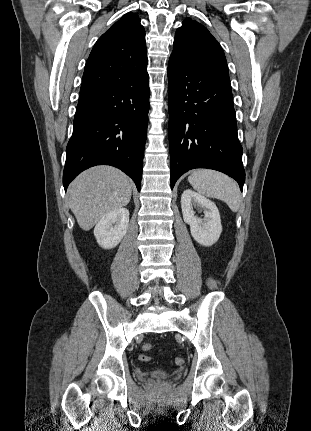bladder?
Returning a JSON list of instances; mask_svg holds the SVG:
<instances>
[{
	"mask_svg": "<svg viewBox=\"0 0 311 431\" xmlns=\"http://www.w3.org/2000/svg\"><path fill=\"white\" fill-rule=\"evenodd\" d=\"M151 375H152L153 377H161V378H165V377H167V376H168V373H167L166 371H164V370H160V369H158V370H154V371H152V372H151Z\"/></svg>",
	"mask_w": 311,
	"mask_h": 431,
	"instance_id": "obj_1",
	"label": "bladder"
}]
</instances>
